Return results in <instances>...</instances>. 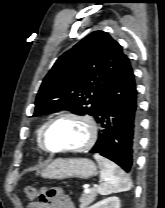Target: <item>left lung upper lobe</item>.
Masks as SVG:
<instances>
[{"label":"left lung upper lobe","instance_id":"left-lung-upper-lobe-1","mask_svg":"<svg viewBox=\"0 0 165 208\" xmlns=\"http://www.w3.org/2000/svg\"><path fill=\"white\" fill-rule=\"evenodd\" d=\"M127 59L110 35L92 32L55 62L39 89L33 117L59 110L95 117L104 92Z\"/></svg>","mask_w":165,"mask_h":208}]
</instances>
